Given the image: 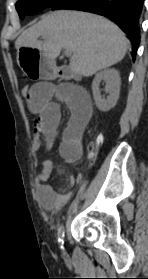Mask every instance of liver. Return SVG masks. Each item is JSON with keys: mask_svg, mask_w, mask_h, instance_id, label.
<instances>
[{"mask_svg": "<svg viewBox=\"0 0 148 279\" xmlns=\"http://www.w3.org/2000/svg\"><path fill=\"white\" fill-rule=\"evenodd\" d=\"M42 36L45 41L38 38ZM129 45L121 29L104 17L71 10L46 14L25 30L15 47L38 49L54 61L63 48L72 49V72L89 77L121 61Z\"/></svg>", "mask_w": 148, "mask_h": 279, "instance_id": "obj_1", "label": "liver"}]
</instances>
